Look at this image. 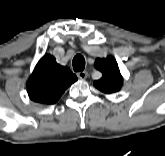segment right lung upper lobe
Segmentation results:
<instances>
[{
  "instance_id": "obj_1",
  "label": "right lung upper lobe",
  "mask_w": 165,
  "mask_h": 156,
  "mask_svg": "<svg viewBox=\"0 0 165 156\" xmlns=\"http://www.w3.org/2000/svg\"><path fill=\"white\" fill-rule=\"evenodd\" d=\"M75 81L68 67L56 63L52 55H45L36 65L27 83L31 100L42 104H54L63 92Z\"/></svg>"
}]
</instances>
